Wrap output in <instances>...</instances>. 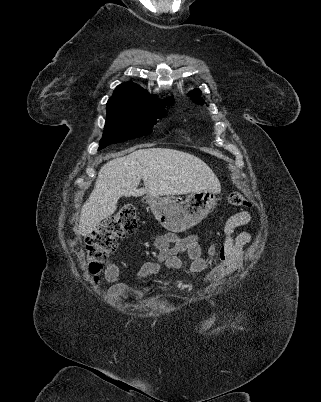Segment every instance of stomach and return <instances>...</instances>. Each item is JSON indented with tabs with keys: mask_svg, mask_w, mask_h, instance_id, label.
<instances>
[{
	"mask_svg": "<svg viewBox=\"0 0 321 402\" xmlns=\"http://www.w3.org/2000/svg\"><path fill=\"white\" fill-rule=\"evenodd\" d=\"M218 192H193L182 200L173 195L149 196L148 205L156 220L168 231L179 233L190 229L204 219L214 208Z\"/></svg>",
	"mask_w": 321,
	"mask_h": 402,
	"instance_id": "1",
	"label": "stomach"
}]
</instances>
